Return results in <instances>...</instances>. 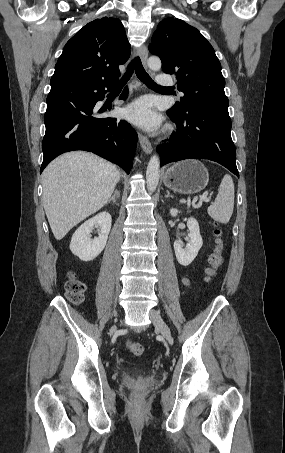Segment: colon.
<instances>
[{
  "mask_svg": "<svg viewBox=\"0 0 285 453\" xmlns=\"http://www.w3.org/2000/svg\"><path fill=\"white\" fill-rule=\"evenodd\" d=\"M215 235V248L214 251L208 258V267L206 269V280L211 281L217 275L219 268L223 264V250H224V239L223 230L219 224H215L214 229ZM66 297L73 304H80L83 302L86 292V285L77 278L73 273H69L66 284ZM128 351L135 355L140 356L144 352L143 345L135 340H128L126 343Z\"/></svg>",
  "mask_w": 285,
  "mask_h": 453,
  "instance_id": "colon-1",
  "label": "colon"
}]
</instances>
